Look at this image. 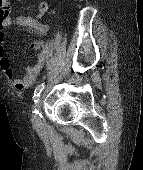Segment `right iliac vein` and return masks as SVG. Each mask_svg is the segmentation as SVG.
I'll return each mask as SVG.
<instances>
[{
    "mask_svg": "<svg viewBox=\"0 0 143 170\" xmlns=\"http://www.w3.org/2000/svg\"><path fill=\"white\" fill-rule=\"evenodd\" d=\"M41 103H42V96H40L39 98H38V101H37V103H36V106H35V110H37V113H38V111L40 110V108H41ZM33 122H34V124L36 125V126H38L39 124H40V119H39V116H38V114H35L34 115V117H33Z\"/></svg>",
    "mask_w": 143,
    "mask_h": 170,
    "instance_id": "63e3f726",
    "label": "right iliac vein"
}]
</instances>
